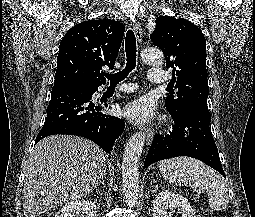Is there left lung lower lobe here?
<instances>
[{
	"label": "left lung lower lobe",
	"instance_id": "left-lung-lower-lobe-1",
	"mask_svg": "<svg viewBox=\"0 0 255 217\" xmlns=\"http://www.w3.org/2000/svg\"><path fill=\"white\" fill-rule=\"evenodd\" d=\"M170 114L175 125L165 137L156 136L145 159L144 168L163 159L188 156L204 162L225 177L209 127L210 112L191 106L182 113Z\"/></svg>",
	"mask_w": 255,
	"mask_h": 217
}]
</instances>
